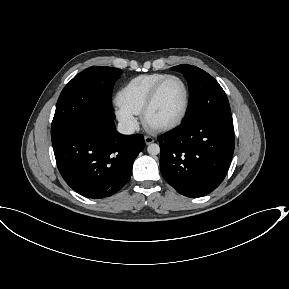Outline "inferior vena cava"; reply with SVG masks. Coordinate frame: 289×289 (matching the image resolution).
Masks as SVG:
<instances>
[{"label": "inferior vena cava", "instance_id": "inferior-vena-cava-1", "mask_svg": "<svg viewBox=\"0 0 289 289\" xmlns=\"http://www.w3.org/2000/svg\"><path fill=\"white\" fill-rule=\"evenodd\" d=\"M117 131L124 135H130L135 132V126L128 122H119Z\"/></svg>", "mask_w": 289, "mask_h": 289}]
</instances>
